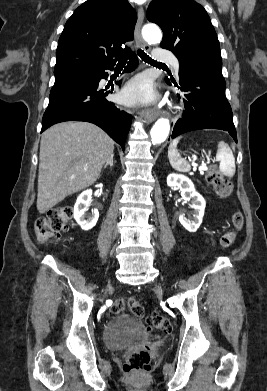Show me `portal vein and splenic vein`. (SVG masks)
Listing matches in <instances>:
<instances>
[{"label": "portal vein and splenic vein", "instance_id": "portal-vein-and-splenic-vein-1", "mask_svg": "<svg viewBox=\"0 0 267 391\" xmlns=\"http://www.w3.org/2000/svg\"><path fill=\"white\" fill-rule=\"evenodd\" d=\"M190 160H191V159H190ZM192 165H193V166H197V164L195 163V159L192 160ZM201 169H207L206 165H205V164H202Z\"/></svg>", "mask_w": 267, "mask_h": 391}]
</instances>
